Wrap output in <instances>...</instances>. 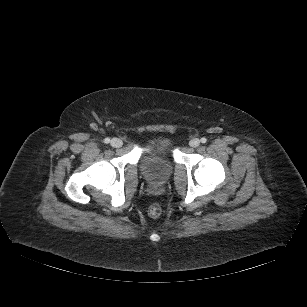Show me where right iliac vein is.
<instances>
[{
	"instance_id": "1",
	"label": "right iliac vein",
	"mask_w": 307,
	"mask_h": 307,
	"mask_svg": "<svg viewBox=\"0 0 307 307\" xmlns=\"http://www.w3.org/2000/svg\"><path fill=\"white\" fill-rule=\"evenodd\" d=\"M110 143L114 148H120L123 145L122 140L119 138H113Z\"/></svg>"
}]
</instances>
